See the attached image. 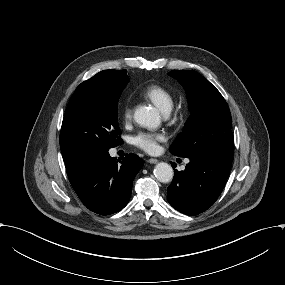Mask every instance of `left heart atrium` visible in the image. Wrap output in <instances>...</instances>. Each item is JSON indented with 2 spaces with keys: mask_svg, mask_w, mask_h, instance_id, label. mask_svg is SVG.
<instances>
[{
  "mask_svg": "<svg viewBox=\"0 0 285 285\" xmlns=\"http://www.w3.org/2000/svg\"><path fill=\"white\" fill-rule=\"evenodd\" d=\"M165 139L162 132L143 131L133 137V143L147 153H153L158 149L157 143Z\"/></svg>",
  "mask_w": 285,
  "mask_h": 285,
  "instance_id": "1",
  "label": "left heart atrium"
}]
</instances>
